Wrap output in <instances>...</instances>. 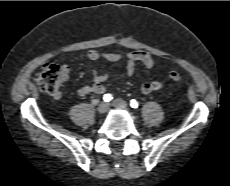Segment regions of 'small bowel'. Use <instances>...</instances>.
I'll use <instances>...</instances> for the list:
<instances>
[{
    "label": "small bowel",
    "mask_w": 230,
    "mask_h": 186,
    "mask_svg": "<svg viewBox=\"0 0 230 186\" xmlns=\"http://www.w3.org/2000/svg\"><path fill=\"white\" fill-rule=\"evenodd\" d=\"M86 58L90 61H98L104 59L109 62H118L122 58L126 59V75L131 77L135 72L137 63L143 64L146 68H152L154 66L153 56L146 51H132L123 56L120 53H105L97 50H89L86 53ZM70 67L66 63L62 66V76L64 80L69 79ZM107 74L100 70H93V83L82 85L78 88L77 93L81 97L89 96L91 94H103L106 92L107 87L105 82L107 80ZM163 87V83L159 80H149L141 85V92L143 94H150L158 91ZM60 98L61 95L56 96Z\"/></svg>",
    "instance_id": "1"
}]
</instances>
